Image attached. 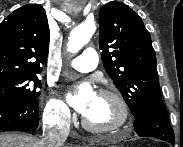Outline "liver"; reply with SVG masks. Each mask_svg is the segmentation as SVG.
<instances>
[{
    "mask_svg": "<svg viewBox=\"0 0 183 147\" xmlns=\"http://www.w3.org/2000/svg\"><path fill=\"white\" fill-rule=\"evenodd\" d=\"M40 142L41 140L27 134H0V147H41Z\"/></svg>",
    "mask_w": 183,
    "mask_h": 147,
    "instance_id": "1",
    "label": "liver"
}]
</instances>
